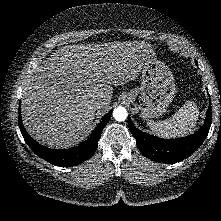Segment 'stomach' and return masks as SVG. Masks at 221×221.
<instances>
[{
    "label": "stomach",
    "instance_id": "stomach-1",
    "mask_svg": "<svg viewBox=\"0 0 221 221\" xmlns=\"http://www.w3.org/2000/svg\"><path fill=\"white\" fill-rule=\"evenodd\" d=\"M174 76L168 66L155 57L148 59L141 70L140 87L125 94L142 119L154 118L166 112L175 97Z\"/></svg>",
    "mask_w": 221,
    "mask_h": 221
}]
</instances>
